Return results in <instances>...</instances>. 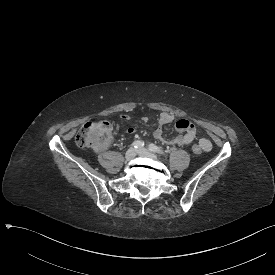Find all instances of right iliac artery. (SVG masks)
Masks as SVG:
<instances>
[{"mask_svg": "<svg viewBox=\"0 0 275 275\" xmlns=\"http://www.w3.org/2000/svg\"><path fill=\"white\" fill-rule=\"evenodd\" d=\"M132 146L134 148H142L144 146V142L143 141H140V140H137V141H134L132 143Z\"/></svg>", "mask_w": 275, "mask_h": 275, "instance_id": "82829eb1", "label": "right iliac artery"}]
</instances>
